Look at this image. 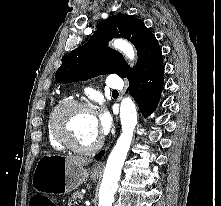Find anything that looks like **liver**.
Instances as JSON below:
<instances>
[{"label": "liver", "mask_w": 221, "mask_h": 206, "mask_svg": "<svg viewBox=\"0 0 221 206\" xmlns=\"http://www.w3.org/2000/svg\"><path fill=\"white\" fill-rule=\"evenodd\" d=\"M73 163L81 164V165H88L92 162V159H87L83 157H68Z\"/></svg>", "instance_id": "1"}]
</instances>
